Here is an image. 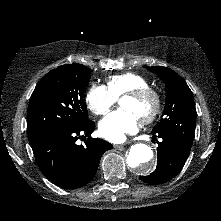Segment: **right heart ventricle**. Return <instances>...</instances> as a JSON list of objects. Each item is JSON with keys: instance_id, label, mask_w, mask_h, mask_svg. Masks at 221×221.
I'll list each match as a JSON object with an SVG mask.
<instances>
[{"instance_id": "right-heart-ventricle-1", "label": "right heart ventricle", "mask_w": 221, "mask_h": 221, "mask_svg": "<svg viewBox=\"0 0 221 221\" xmlns=\"http://www.w3.org/2000/svg\"><path fill=\"white\" fill-rule=\"evenodd\" d=\"M106 87L117 99L127 92L149 87V82L144 76L138 73L125 72L107 78Z\"/></svg>"}]
</instances>
